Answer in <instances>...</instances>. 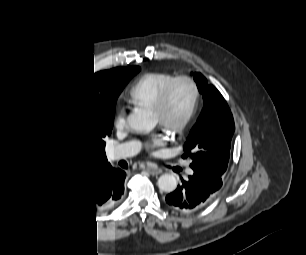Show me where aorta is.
<instances>
[{"label": "aorta", "instance_id": "1", "mask_svg": "<svg viewBox=\"0 0 306 255\" xmlns=\"http://www.w3.org/2000/svg\"><path fill=\"white\" fill-rule=\"evenodd\" d=\"M131 127L136 132L145 133L154 127V122L148 111L135 108L131 114ZM158 187L164 192H173L177 187V180L172 174H163L158 179Z\"/></svg>", "mask_w": 306, "mask_h": 255}]
</instances>
